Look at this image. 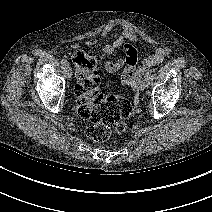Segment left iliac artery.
<instances>
[{
  "instance_id": "obj_1",
  "label": "left iliac artery",
  "mask_w": 212,
  "mask_h": 212,
  "mask_svg": "<svg viewBox=\"0 0 212 212\" xmlns=\"http://www.w3.org/2000/svg\"><path fill=\"white\" fill-rule=\"evenodd\" d=\"M143 81L145 82L146 87H148L151 84L152 75L150 72H146V74L144 75Z\"/></svg>"
}]
</instances>
